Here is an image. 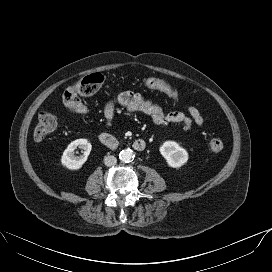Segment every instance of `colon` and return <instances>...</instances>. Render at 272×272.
<instances>
[{
	"instance_id": "colon-1",
	"label": "colon",
	"mask_w": 272,
	"mask_h": 272,
	"mask_svg": "<svg viewBox=\"0 0 272 272\" xmlns=\"http://www.w3.org/2000/svg\"><path fill=\"white\" fill-rule=\"evenodd\" d=\"M104 82V77L100 73H94L84 77L75 85L67 87L62 95V101L64 106L77 114H85L87 112L86 105L81 101L82 97H91L95 95ZM144 88L154 89L165 92L171 97L177 96V91L169 83L157 78H148L142 83ZM56 117L43 111L38 116V121L34 129V139L37 142L44 141L49 134H51L57 128ZM224 144L222 140L214 138L209 142V149L213 153H218L223 150Z\"/></svg>"
}]
</instances>
